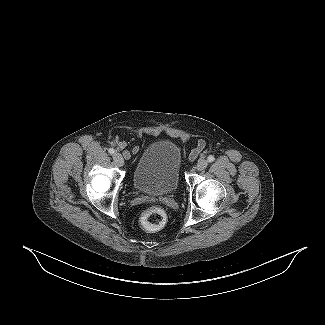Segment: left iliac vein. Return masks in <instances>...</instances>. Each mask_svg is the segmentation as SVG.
<instances>
[{"instance_id":"left-iliac-vein-1","label":"left iliac vein","mask_w":325,"mask_h":325,"mask_svg":"<svg viewBox=\"0 0 325 325\" xmlns=\"http://www.w3.org/2000/svg\"><path fill=\"white\" fill-rule=\"evenodd\" d=\"M208 166V161L205 159H200L196 164V170L201 171L204 170Z\"/></svg>"}]
</instances>
